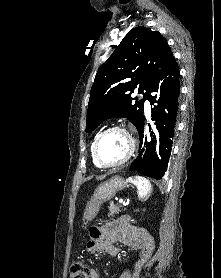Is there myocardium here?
I'll list each match as a JSON object with an SVG mask.
<instances>
[{
  "label": "myocardium",
  "mask_w": 221,
  "mask_h": 278,
  "mask_svg": "<svg viewBox=\"0 0 221 278\" xmlns=\"http://www.w3.org/2000/svg\"><path fill=\"white\" fill-rule=\"evenodd\" d=\"M113 131L123 133L127 137L128 143H129V148H128V152H127L126 156L121 161H119L115 164L108 165V164H104L100 161V159L98 157L97 148H98V144H99V141L101 140V138L105 134H107L109 132H113ZM135 148H136V141H135L134 136L131 134V132L129 130H127L126 128L121 127V126H111L107 129L103 130L101 133H99L96 136V138L94 139L93 146H92V155H93V159H94L95 163L99 167L104 168V169H116V168H119V167L125 165L132 158V156L134 155V152H135Z\"/></svg>",
  "instance_id": "obj_1"
}]
</instances>
